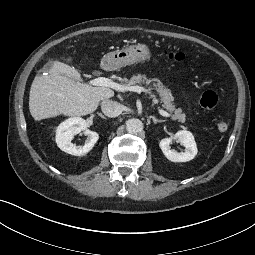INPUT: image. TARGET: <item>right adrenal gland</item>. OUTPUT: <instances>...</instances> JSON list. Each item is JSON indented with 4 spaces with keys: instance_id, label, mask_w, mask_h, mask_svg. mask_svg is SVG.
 Segmentation results:
<instances>
[{
    "instance_id": "right-adrenal-gland-1",
    "label": "right adrenal gland",
    "mask_w": 255,
    "mask_h": 255,
    "mask_svg": "<svg viewBox=\"0 0 255 255\" xmlns=\"http://www.w3.org/2000/svg\"><path fill=\"white\" fill-rule=\"evenodd\" d=\"M99 116H100L102 119H105V120H107V118H106L104 115H102V114H99Z\"/></svg>"
}]
</instances>
